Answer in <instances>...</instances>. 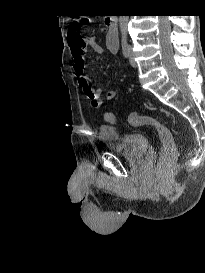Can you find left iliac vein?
<instances>
[{
    "instance_id": "left-iliac-vein-1",
    "label": "left iliac vein",
    "mask_w": 205,
    "mask_h": 273,
    "mask_svg": "<svg viewBox=\"0 0 205 273\" xmlns=\"http://www.w3.org/2000/svg\"><path fill=\"white\" fill-rule=\"evenodd\" d=\"M129 61H130V65L132 66V67H136L137 66V64H136V62H135V60H134V55H133V51H132V48L131 47H129Z\"/></svg>"
}]
</instances>
